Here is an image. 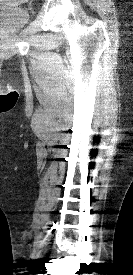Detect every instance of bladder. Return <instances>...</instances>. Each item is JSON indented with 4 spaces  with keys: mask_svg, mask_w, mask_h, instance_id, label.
Returning a JSON list of instances; mask_svg holds the SVG:
<instances>
[{
    "mask_svg": "<svg viewBox=\"0 0 133 275\" xmlns=\"http://www.w3.org/2000/svg\"><path fill=\"white\" fill-rule=\"evenodd\" d=\"M18 0H0V28L15 31L24 26L29 18V12L17 6Z\"/></svg>",
    "mask_w": 133,
    "mask_h": 275,
    "instance_id": "obj_1",
    "label": "bladder"
}]
</instances>
